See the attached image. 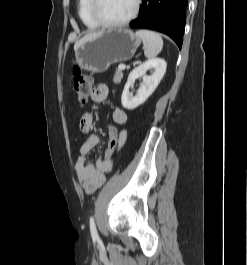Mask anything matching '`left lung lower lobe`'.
<instances>
[{
  "label": "left lung lower lobe",
  "mask_w": 247,
  "mask_h": 265,
  "mask_svg": "<svg viewBox=\"0 0 247 265\" xmlns=\"http://www.w3.org/2000/svg\"><path fill=\"white\" fill-rule=\"evenodd\" d=\"M187 4L188 0H143L140 15L130 26L162 32L181 49Z\"/></svg>",
  "instance_id": "1"
}]
</instances>
